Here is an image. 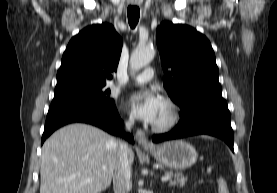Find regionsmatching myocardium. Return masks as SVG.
I'll use <instances>...</instances> for the list:
<instances>
[{
  "instance_id": "obj_1",
  "label": "myocardium",
  "mask_w": 277,
  "mask_h": 193,
  "mask_svg": "<svg viewBox=\"0 0 277 193\" xmlns=\"http://www.w3.org/2000/svg\"><path fill=\"white\" fill-rule=\"evenodd\" d=\"M163 102L169 107L168 118L159 124H153L152 129L156 132H166L174 128L180 121L181 111L178 104L171 98H164Z\"/></svg>"
}]
</instances>
